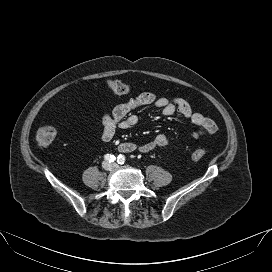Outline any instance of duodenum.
<instances>
[{"mask_svg":"<svg viewBox=\"0 0 272 272\" xmlns=\"http://www.w3.org/2000/svg\"><path fill=\"white\" fill-rule=\"evenodd\" d=\"M135 150V146L130 143H123L118 146V151L122 153H130Z\"/></svg>","mask_w":272,"mask_h":272,"instance_id":"1","label":"duodenum"}]
</instances>
